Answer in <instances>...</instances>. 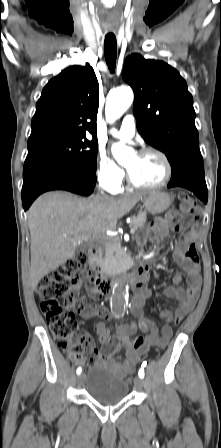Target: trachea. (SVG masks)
Masks as SVG:
<instances>
[{
  "mask_svg": "<svg viewBox=\"0 0 221 448\" xmlns=\"http://www.w3.org/2000/svg\"><path fill=\"white\" fill-rule=\"evenodd\" d=\"M105 59L111 73L114 72L116 67L117 56V42L116 37L113 35H107L104 41Z\"/></svg>",
  "mask_w": 221,
  "mask_h": 448,
  "instance_id": "trachea-1",
  "label": "trachea"
}]
</instances>
